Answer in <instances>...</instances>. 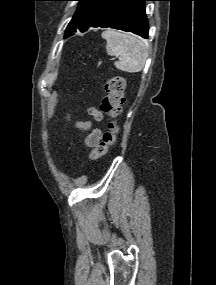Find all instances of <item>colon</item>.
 <instances>
[{"label":"colon","instance_id":"colon-1","mask_svg":"<svg viewBox=\"0 0 216 285\" xmlns=\"http://www.w3.org/2000/svg\"><path fill=\"white\" fill-rule=\"evenodd\" d=\"M105 96L101 103V111L113 118L109 123L108 130L103 134L101 140L94 146L90 153L91 159L104 156L116 143L119 126L116 118L121 114L124 104L125 80L121 76L109 77L104 84Z\"/></svg>","mask_w":216,"mask_h":285}]
</instances>
